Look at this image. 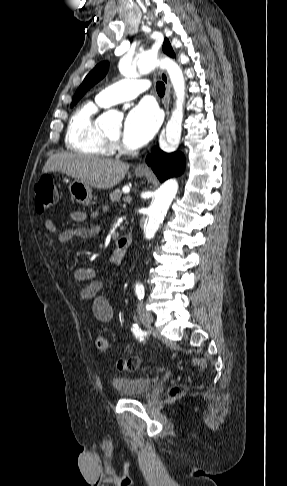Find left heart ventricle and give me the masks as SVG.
Wrapping results in <instances>:
<instances>
[{
    "instance_id": "left-heart-ventricle-1",
    "label": "left heart ventricle",
    "mask_w": 287,
    "mask_h": 486,
    "mask_svg": "<svg viewBox=\"0 0 287 486\" xmlns=\"http://www.w3.org/2000/svg\"><path fill=\"white\" fill-rule=\"evenodd\" d=\"M109 137L114 139V140H117L120 137V130L118 129V130L110 133Z\"/></svg>"
}]
</instances>
